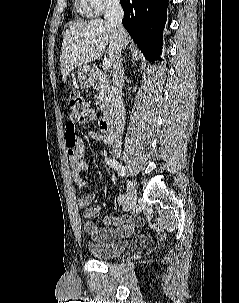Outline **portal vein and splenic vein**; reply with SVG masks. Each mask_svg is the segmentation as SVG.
Returning a JSON list of instances; mask_svg holds the SVG:
<instances>
[{
    "label": "portal vein and splenic vein",
    "instance_id": "1",
    "mask_svg": "<svg viewBox=\"0 0 239 303\" xmlns=\"http://www.w3.org/2000/svg\"><path fill=\"white\" fill-rule=\"evenodd\" d=\"M111 67V60L109 58H105L102 62L103 69H109Z\"/></svg>",
    "mask_w": 239,
    "mask_h": 303
}]
</instances>
